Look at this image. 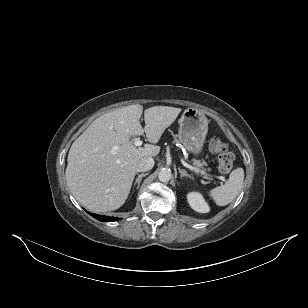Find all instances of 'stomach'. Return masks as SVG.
<instances>
[{"instance_id": "1", "label": "stomach", "mask_w": 308, "mask_h": 308, "mask_svg": "<svg viewBox=\"0 0 308 308\" xmlns=\"http://www.w3.org/2000/svg\"><path fill=\"white\" fill-rule=\"evenodd\" d=\"M208 119L195 108H187L179 119V141L187 151L197 155L202 152L208 132Z\"/></svg>"}]
</instances>
